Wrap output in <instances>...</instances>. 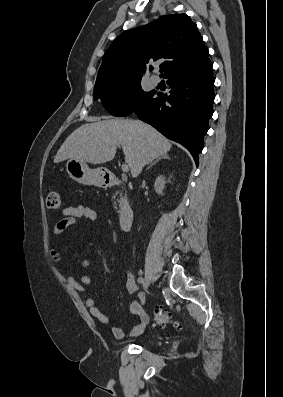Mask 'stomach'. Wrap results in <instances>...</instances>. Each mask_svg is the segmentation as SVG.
<instances>
[{
    "mask_svg": "<svg viewBox=\"0 0 283 397\" xmlns=\"http://www.w3.org/2000/svg\"><path fill=\"white\" fill-rule=\"evenodd\" d=\"M68 175L75 181L84 185L101 187L105 184L102 168L90 169L86 162L70 158L66 163Z\"/></svg>",
    "mask_w": 283,
    "mask_h": 397,
    "instance_id": "obj_1",
    "label": "stomach"
}]
</instances>
